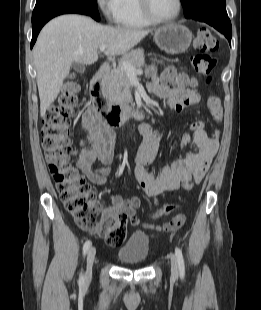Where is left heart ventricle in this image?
<instances>
[{
    "instance_id": "b2bd125f",
    "label": "left heart ventricle",
    "mask_w": 261,
    "mask_h": 310,
    "mask_svg": "<svg viewBox=\"0 0 261 310\" xmlns=\"http://www.w3.org/2000/svg\"><path fill=\"white\" fill-rule=\"evenodd\" d=\"M152 13L161 19L169 18L176 12V0H149Z\"/></svg>"
}]
</instances>
